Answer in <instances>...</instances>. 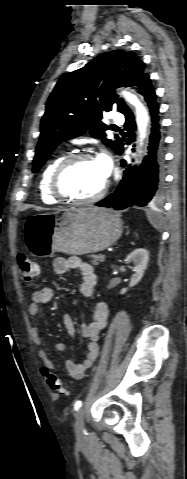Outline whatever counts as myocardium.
I'll return each mask as SVG.
<instances>
[{
    "mask_svg": "<svg viewBox=\"0 0 187 479\" xmlns=\"http://www.w3.org/2000/svg\"><path fill=\"white\" fill-rule=\"evenodd\" d=\"M85 159H94V157L87 152H76L65 156L55 168L51 180L50 189L54 197L60 201L68 202L71 204H90L94 203L105 196L109 188V181L106 179L102 188L94 195L86 198H79L67 193L63 189V179L66 172L78 161Z\"/></svg>",
    "mask_w": 187,
    "mask_h": 479,
    "instance_id": "myocardium-1",
    "label": "myocardium"
}]
</instances>
